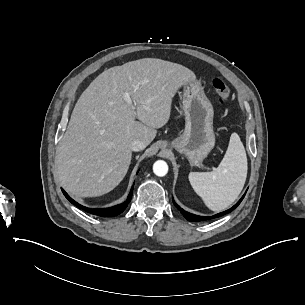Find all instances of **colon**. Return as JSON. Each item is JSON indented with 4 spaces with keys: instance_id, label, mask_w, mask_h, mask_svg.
Returning a JSON list of instances; mask_svg holds the SVG:
<instances>
[{
    "instance_id": "5ec220e1",
    "label": "colon",
    "mask_w": 305,
    "mask_h": 305,
    "mask_svg": "<svg viewBox=\"0 0 305 305\" xmlns=\"http://www.w3.org/2000/svg\"><path fill=\"white\" fill-rule=\"evenodd\" d=\"M212 87L216 93L214 102L222 105L227 103L231 98V93L228 85L220 78H214L212 80Z\"/></svg>"
}]
</instances>
